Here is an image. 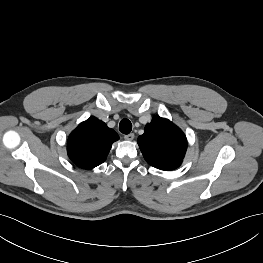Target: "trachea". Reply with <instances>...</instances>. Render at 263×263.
I'll return each instance as SVG.
<instances>
[{
	"instance_id": "obj_1",
	"label": "trachea",
	"mask_w": 263,
	"mask_h": 263,
	"mask_svg": "<svg viewBox=\"0 0 263 263\" xmlns=\"http://www.w3.org/2000/svg\"><path fill=\"white\" fill-rule=\"evenodd\" d=\"M119 130L123 134H129L132 130V124L128 119H122L119 124Z\"/></svg>"
}]
</instances>
